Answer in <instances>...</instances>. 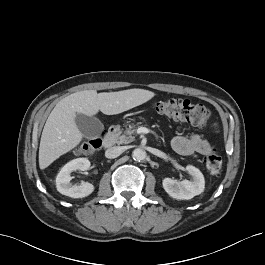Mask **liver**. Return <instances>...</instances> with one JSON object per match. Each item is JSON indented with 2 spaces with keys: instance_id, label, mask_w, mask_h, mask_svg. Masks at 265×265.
I'll use <instances>...</instances> for the list:
<instances>
[{
  "instance_id": "1",
  "label": "liver",
  "mask_w": 265,
  "mask_h": 265,
  "mask_svg": "<svg viewBox=\"0 0 265 265\" xmlns=\"http://www.w3.org/2000/svg\"><path fill=\"white\" fill-rule=\"evenodd\" d=\"M154 96L152 91L134 88L102 93L84 90L63 98L50 113L41 135L40 169L47 168L82 141L83 135L75 123L77 113L93 116L101 111L106 115H115L137 107Z\"/></svg>"
}]
</instances>
